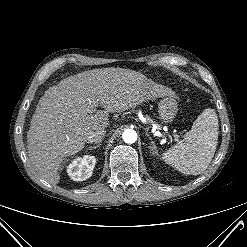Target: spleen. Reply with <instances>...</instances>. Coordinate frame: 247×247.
Returning a JSON list of instances; mask_svg holds the SVG:
<instances>
[{"instance_id":"obj_1","label":"spleen","mask_w":247,"mask_h":247,"mask_svg":"<svg viewBox=\"0 0 247 247\" xmlns=\"http://www.w3.org/2000/svg\"><path fill=\"white\" fill-rule=\"evenodd\" d=\"M218 117L213 109H205L185 134L184 142L174 145L162 154V160L185 175L204 172L217 147Z\"/></svg>"}]
</instances>
